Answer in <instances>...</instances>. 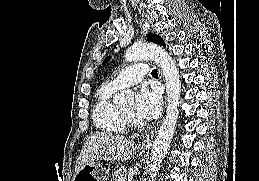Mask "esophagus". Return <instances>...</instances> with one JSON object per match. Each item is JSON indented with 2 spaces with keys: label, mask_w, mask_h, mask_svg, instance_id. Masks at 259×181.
<instances>
[{
  "label": "esophagus",
  "mask_w": 259,
  "mask_h": 181,
  "mask_svg": "<svg viewBox=\"0 0 259 181\" xmlns=\"http://www.w3.org/2000/svg\"><path fill=\"white\" fill-rule=\"evenodd\" d=\"M156 134V130L152 131L147 137L139 144L138 148L140 150H147L151 146L154 136Z\"/></svg>",
  "instance_id": "1"
}]
</instances>
